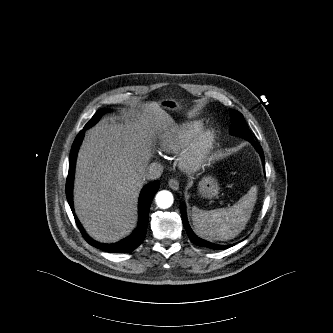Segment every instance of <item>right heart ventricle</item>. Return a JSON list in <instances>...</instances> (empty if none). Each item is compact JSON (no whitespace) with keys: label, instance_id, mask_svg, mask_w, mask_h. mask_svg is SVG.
<instances>
[{"label":"right heart ventricle","instance_id":"obj_1","mask_svg":"<svg viewBox=\"0 0 333 333\" xmlns=\"http://www.w3.org/2000/svg\"><path fill=\"white\" fill-rule=\"evenodd\" d=\"M204 127L202 119L184 121L166 130L160 138V148L167 153L184 151Z\"/></svg>","mask_w":333,"mask_h":333}]
</instances>
